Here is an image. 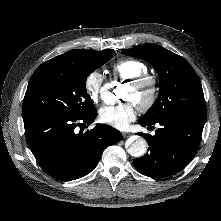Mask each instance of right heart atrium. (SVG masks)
Here are the masks:
<instances>
[{
    "mask_svg": "<svg viewBox=\"0 0 221 221\" xmlns=\"http://www.w3.org/2000/svg\"><path fill=\"white\" fill-rule=\"evenodd\" d=\"M103 83L104 76L101 72L93 70L87 74L84 80V90L91 101L98 102Z\"/></svg>",
    "mask_w": 221,
    "mask_h": 221,
    "instance_id": "1",
    "label": "right heart atrium"
}]
</instances>
